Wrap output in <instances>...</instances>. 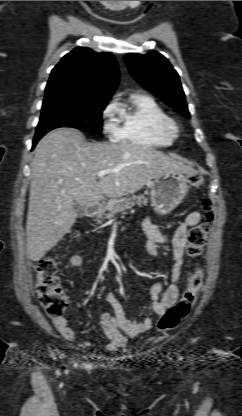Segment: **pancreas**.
I'll list each match as a JSON object with an SVG mask.
<instances>
[{
    "instance_id": "1",
    "label": "pancreas",
    "mask_w": 242,
    "mask_h": 416,
    "mask_svg": "<svg viewBox=\"0 0 242 416\" xmlns=\"http://www.w3.org/2000/svg\"><path fill=\"white\" fill-rule=\"evenodd\" d=\"M142 199L143 195H132L131 197L108 201L106 205L100 207L98 210V222L103 219H111L116 213L126 209H131L135 204H146V201H142Z\"/></svg>"
}]
</instances>
